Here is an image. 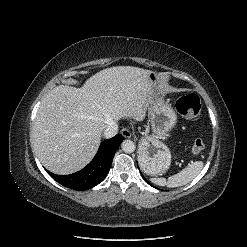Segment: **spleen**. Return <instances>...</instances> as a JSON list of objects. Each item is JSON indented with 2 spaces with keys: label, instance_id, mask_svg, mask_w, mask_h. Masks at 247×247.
<instances>
[{
  "label": "spleen",
  "instance_id": "1",
  "mask_svg": "<svg viewBox=\"0 0 247 247\" xmlns=\"http://www.w3.org/2000/svg\"><path fill=\"white\" fill-rule=\"evenodd\" d=\"M203 162L196 161L189 164L186 168L179 173L166 178H152V182L159 186L179 187L192 181L202 170Z\"/></svg>",
  "mask_w": 247,
  "mask_h": 247
}]
</instances>
